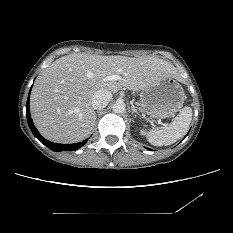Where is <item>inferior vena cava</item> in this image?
<instances>
[{"label":"inferior vena cava","instance_id":"1","mask_svg":"<svg viewBox=\"0 0 233 233\" xmlns=\"http://www.w3.org/2000/svg\"><path fill=\"white\" fill-rule=\"evenodd\" d=\"M112 98V94L110 91L101 89L96 91L91 99L92 107L94 109H102L105 108Z\"/></svg>","mask_w":233,"mask_h":233}]
</instances>
